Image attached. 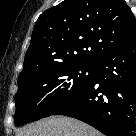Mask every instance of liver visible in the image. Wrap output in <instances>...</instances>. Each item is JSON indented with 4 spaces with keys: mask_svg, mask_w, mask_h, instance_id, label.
Here are the masks:
<instances>
[{
    "mask_svg": "<svg viewBox=\"0 0 136 136\" xmlns=\"http://www.w3.org/2000/svg\"><path fill=\"white\" fill-rule=\"evenodd\" d=\"M18 136H101V134L76 119L53 116L27 125Z\"/></svg>",
    "mask_w": 136,
    "mask_h": 136,
    "instance_id": "1",
    "label": "liver"
}]
</instances>
